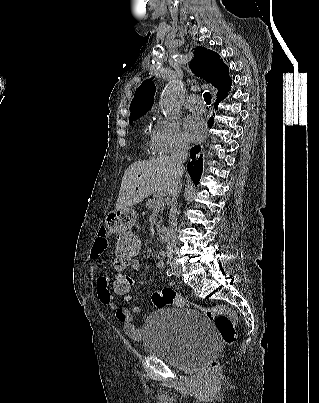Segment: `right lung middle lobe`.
Here are the masks:
<instances>
[{"instance_id":"1","label":"right lung middle lobe","mask_w":319,"mask_h":403,"mask_svg":"<svg viewBox=\"0 0 319 403\" xmlns=\"http://www.w3.org/2000/svg\"><path fill=\"white\" fill-rule=\"evenodd\" d=\"M137 118H139V117L129 119V123H132V122H133L134 120H136Z\"/></svg>"}]
</instances>
